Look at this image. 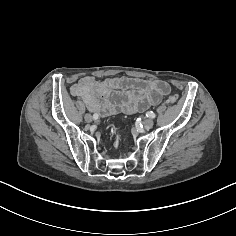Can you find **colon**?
<instances>
[{
  "mask_svg": "<svg viewBox=\"0 0 236 236\" xmlns=\"http://www.w3.org/2000/svg\"><path fill=\"white\" fill-rule=\"evenodd\" d=\"M178 100H179V98H178L177 95H171V96H169V98H168V102H169L170 104H176V103L178 102Z\"/></svg>",
  "mask_w": 236,
  "mask_h": 236,
  "instance_id": "5ec220e1",
  "label": "colon"
}]
</instances>
